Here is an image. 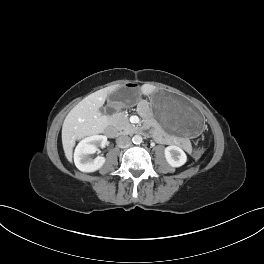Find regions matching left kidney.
I'll use <instances>...</instances> for the list:
<instances>
[{
  "label": "left kidney",
  "mask_w": 264,
  "mask_h": 264,
  "mask_svg": "<svg viewBox=\"0 0 264 264\" xmlns=\"http://www.w3.org/2000/svg\"><path fill=\"white\" fill-rule=\"evenodd\" d=\"M165 158L172 167H180L187 161L185 152L180 147L174 145L165 148Z\"/></svg>",
  "instance_id": "5707ae66"
}]
</instances>
